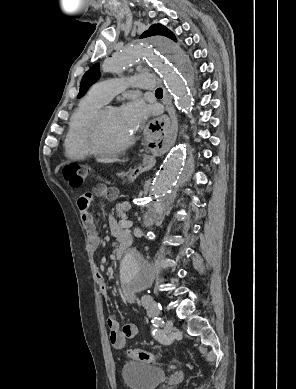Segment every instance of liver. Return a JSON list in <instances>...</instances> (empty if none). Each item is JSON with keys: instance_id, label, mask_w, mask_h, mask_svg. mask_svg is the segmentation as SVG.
<instances>
[{"instance_id": "6515ba94", "label": "liver", "mask_w": 296, "mask_h": 389, "mask_svg": "<svg viewBox=\"0 0 296 389\" xmlns=\"http://www.w3.org/2000/svg\"><path fill=\"white\" fill-rule=\"evenodd\" d=\"M98 162H101V163H113V162H116L118 161L117 159H108V158H99L97 159Z\"/></svg>"}]
</instances>
